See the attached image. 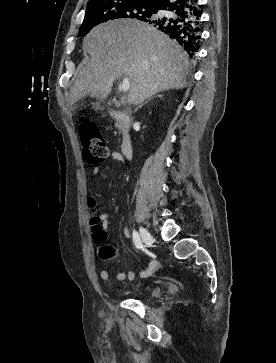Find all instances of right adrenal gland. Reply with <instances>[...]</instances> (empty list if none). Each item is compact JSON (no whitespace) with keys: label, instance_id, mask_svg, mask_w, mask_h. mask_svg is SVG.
Masks as SVG:
<instances>
[{"label":"right adrenal gland","instance_id":"obj_1","mask_svg":"<svg viewBox=\"0 0 276 363\" xmlns=\"http://www.w3.org/2000/svg\"><path fill=\"white\" fill-rule=\"evenodd\" d=\"M160 98H162V95H158ZM152 98H149L144 104H142V105H140V106H138L137 108H136V110L135 111H137L139 108H141L143 105H145L149 100H151Z\"/></svg>","mask_w":276,"mask_h":363}]
</instances>
